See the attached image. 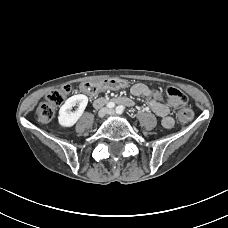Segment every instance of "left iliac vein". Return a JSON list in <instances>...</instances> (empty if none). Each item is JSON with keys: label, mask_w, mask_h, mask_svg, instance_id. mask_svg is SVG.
Listing matches in <instances>:
<instances>
[{"label": "left iliac vein", "mask_w": 228, "mask_h": 228, "mask_svg": "<svg viewBox=\"0 0 228 228\" xmlns=\"http://www.w3.org/2000/svg\"><path fill=\"white\" fill-rule=\"evenodd\" d=\"M108 114L109 115H114L115 114V111L113 109H110V110H108Z\"/></svg>", "instance_id": "1"}]
</instances>
